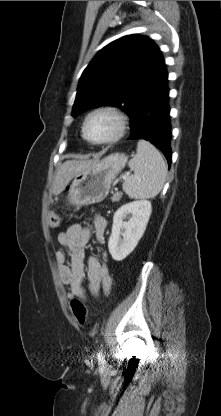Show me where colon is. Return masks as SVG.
Wrapping results in <instances>:
<instances>
[{
	"label": "colon",
	"mask_w": 221,
	"mask_h": 416,
	"mask_svg": "<svg viewBox=\"0 0 221 416\" xmlns=\"http://www.w3.org/2000/svg\"><path fill=\"white\" fill-rule=\"evenodd\" d=\"M61 223V217L57 213H52L49 216V226L52 228L58 227ZM71 309L77 322L81 325L86 324L88 319V311L86 305L79 299H74L71 302Z\"/></svg>",
	"instance_id": "colon-1"
}]
</instances>
